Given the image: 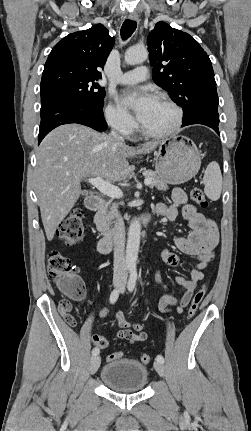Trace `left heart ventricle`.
Listing matches in <instances>:
<instances>
[{
	"instance_id": "b2bd125f",
	"label": "left heart ventricle",
	"mask_w": 251,
	"mask_h": 431,
	"mask_svg": "<svg viewBox=\"0 0 251 431\" xmlns=\"http://www.w3.org/2000/svg\"><path fill=\"white\" fill-rule=\"evenodd\" d=\"M174 119L173 109L164 102L156 100L141 124L149 131L160 132L168 129L173 124Z\"/></svg>"
}]
</instances>
